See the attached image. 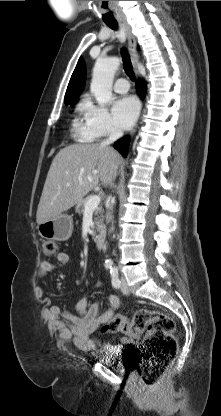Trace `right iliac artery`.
Wrapping results in <instances>:
<instances>
[{
    "label": "right iliac artery",
    "instance_id": "82829eb1",
    "mask_svg": "<svg viewBox=\"0 0 221 416\" xmlns=\"http://www.w3.org/2000/svg\"><path fill=\"white\" fill-rule=\"evenodd\" d=\"M105 267H106L107 269L112 268V263H105Z\"/></svg>",
    "mask_w": 221,
    "mask_h": 416
}]
</instances>
